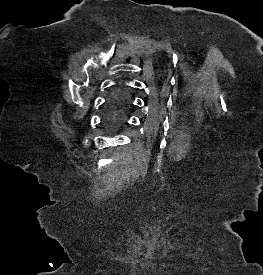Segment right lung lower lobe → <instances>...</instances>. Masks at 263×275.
Returning <instances> with one entry per match:
<instances>
[{
	"instance_id": "right-lung-lower-lobe-1",
	"label": "right lung lower lobe",
	"mask_w": 263,
	"mask_h": 275,
	"mask_svg": "<svg viewBox=\"0 0 263 275\" xmlns=\"http://www.w3.org/2000/svg\"><path fill=\"white\" fill-rule=\"evenodd\" d=\"M121 89L118 87L116 89L113 90L111 97L108 101L107 104V108L105 111V116H104V123L108 126V127H112L115 128L116 126L120 125L121 123H114L111 119V115H112V111L114 109V106L116 104V101L118 99L119 94L121 93Z\"/></svg>"
}]
</instances>
